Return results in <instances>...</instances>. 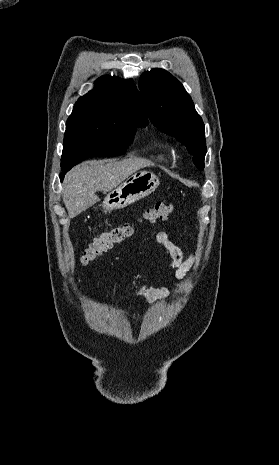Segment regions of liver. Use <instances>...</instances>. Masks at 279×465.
Here are the masks:
<instances>
[{
    "instance_id": "liver-1",
    "label": "liver",
    "mask_w": 279,
    "mask_h": 465,
    "mask_svg": "<svg viewBox=\"0 0 279 465\" xmlns=\"http://www.w3.org/2000/svg\"><path fill=\"white\" fill-rule=\"evenodd\" d=\"M153 166L142 158H127L121 161H86L72 168L63 182V202L69 218L78 216L100 199L97 191L110 192L141 168Z\"/></svg>"
}]
</instances>
